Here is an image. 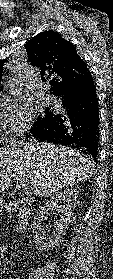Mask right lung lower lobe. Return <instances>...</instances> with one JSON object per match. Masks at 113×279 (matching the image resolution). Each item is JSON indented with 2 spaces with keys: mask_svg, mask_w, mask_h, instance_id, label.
<instances>
[{
  "mask_svg": "<svg viewBox=\"0 0 113 279\" xmlns=\"http://www.w3.org/2000/svg\"><path fill=\"white\" fill-rule=\"evenodd\" d=\"M63 111L52 112L43 123L30 129L41 142L80 149L95 160L99 147V105L91 72L74 90L65 92Z\"/></svg>",
  "mask_w": 113,
  "mask_h": 279,
  "instance_id": "obj_1",
  "label": "right lung lower lobe"
}]
</instances>
